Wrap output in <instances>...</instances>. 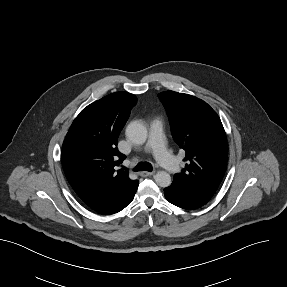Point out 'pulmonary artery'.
Returning <instances> with one entry per match:
<instances>
[{
  "label": "pulmonary artery",
  "instance_id": "pulmonary-artery-1",
  "mask_svg": "<svg viewBox=\"0 0 287 287\" xmlns=\"http://www.w3.org/2000/svg\"><path fill=\"white\" fill-rule=\"evenodd\" d=\"M146 149L152 150L157 161L170 173H178L181 169L178 160L166 150L163 139V126L155 119L150 124L149 138Z\"/></svg>",
  "mask_w": 287,
  "mask_h": 287
}]
</instances>
